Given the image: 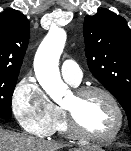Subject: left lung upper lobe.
I'll return each mask as SVG.
<instances>
[{
    "label": "left lung upper lobe",
    "mask_w": 131,
    "mask_h": 151,
    "mask_svg": "<svg viewBox=\"0 0 131 151\" xmlns=\"http://www.w3.org/2000/svg\"><path fill=\"white\" fill-rule=\"evenodd\" d=\"M83 33L88 67L126 111L131 130V29L123 17L101 9L85 17Z\"/></svg>",
    "instance_id": "left-lung-upper-lobe-1"
}]
</instances>
